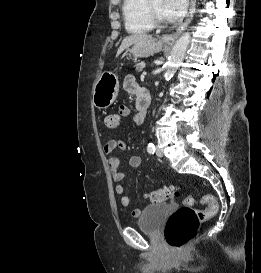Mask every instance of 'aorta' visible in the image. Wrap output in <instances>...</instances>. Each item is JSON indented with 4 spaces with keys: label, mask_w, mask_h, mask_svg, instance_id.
I'll list each match as a JSON object with an SVG mask.
<instances>
[{
    "label": "aorta",
    "mask_w": 261,
    "mask_h": 273,
    "mask_svg": "<svg viewBox=\"0 0 261 273\" xmlns=\"http://www.w3.org/2000/svg\"><path fill=\"white\" fill-rule=\"evenodd\" d=\"M191 35L189 32L184 33L175 43L166 64L165 76H170L175 69L183 62L185 53L190 45Z\"/></svg>",
    "instance_id": "1"
}]
</instances>
